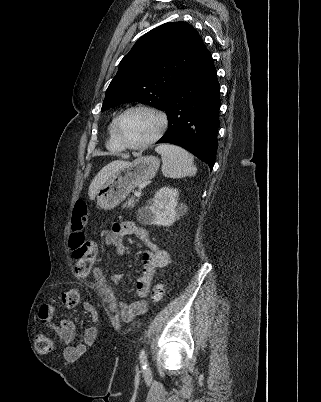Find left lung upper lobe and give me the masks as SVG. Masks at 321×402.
Wrapping results in <instances>:
<instances>
[{"label":"left lung upper lobe","mask_w":321,"mask_h":402,"mask_svg":"<svg viewBox=\"0 0 321 402\" xmlns=\"http://www.w3.org/2000/svg\"><path fill=\"white\" fill-rule=\"evenodd\" d=\"M205 51L201 37L188 23H165L154 28L121 60L101 110L129 102L162 110L174 87Z\"/></svg>","instance_id":"1"}]
</instances>
